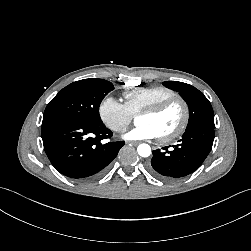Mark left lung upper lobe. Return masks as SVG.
Masks as SVG:
<instances>
[{
    "label": "left lung upper lobe",
    "instance_id": "1",
    "mask_svg": "<svg viewBox=\"0 0 251 251\" xmlns=\"http://www.w3.org/2000/svg\"><path fill=\"white\" fill-rule=\"evenodd\" d=\"M165 84L179 91L189 105V121L186 129L203 124L215 127L213 109L202 92L183 82L166 81Z\"/></svg>",
    "mask_w": 251,
    "mask_h": 251
}]
</instances>
